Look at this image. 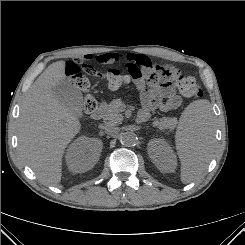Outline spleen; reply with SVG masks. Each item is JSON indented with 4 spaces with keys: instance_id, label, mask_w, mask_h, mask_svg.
Instances as JSON below:
<instances>
[{
    "instance_id": "3e777b00",
    "label": "spleen",
    "mask_w": 245,
    "mask_h": 245,
    "mask_svg": "<svg viewBox=\"0 0 245 245\" xmlns=\"http://www.w3.org/2000/svg\"><path fill=\"white\" fill-rule=\"evenodd\" d=\"M213 112L206 99L191 102L183 111L175 135L181 162V181L199 177L210 161L213 149Z\"/></svg>"
}]
</instances>
